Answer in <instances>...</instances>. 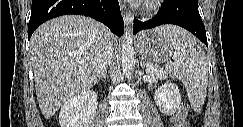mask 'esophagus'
Instances as JSON below:
<instances>
[{"label": "esophagus", "instance_id": "esophagus-1", "mask_svg": "<svg viewBox=\"0 0 243 127\" xmlns=\"http://www.w3.org/2000/svg\"><path fill=\"white\" fill-rule=\"evenodd\" d=\"M120 8H121V13H122V17L124 20V24L126 26H129L133 20V16H132L131 12L128 10L126 4L123 3L122 1H120Z\"/></svg>", "mask_w": 243, "mask_h": 127}]
</instances>
